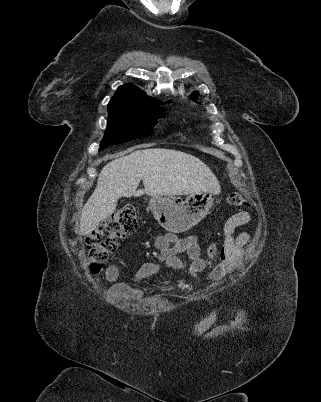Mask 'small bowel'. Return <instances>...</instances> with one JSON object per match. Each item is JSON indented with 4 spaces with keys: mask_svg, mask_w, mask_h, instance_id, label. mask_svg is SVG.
I'll use <instances>...</instances> for the list:
<instances>
[{
    "mask_svg": "<svg viewBox=\"0 0 321 402\" xmlns=\"http://www.w3.org/2000/svg\"><path fill=\"white\" fill-rule=\"evenodd\" d=\"M251 221V215L247 211H238L227 218L224 224L225 241L222 249V260L214 267L210 268L209 261L203 257L202 248L195 236L177 237L174 234H165L156 238L155 247L158 250L157 259L148 261L136 274L135 280L139 281L147 276L156 274L159 271L160 263L167 268L174 270H184L192 277L197 278L200 273L207 271V280L215 282L230 273L239 263L243 249L251 242V236L247 232L236 235V230L247 225ZM185 256L187 262L182 256ZM106 279L112 282L110 288L112 295H118L132 290V286L124 283H116L119 276L117 266L110 264L105 271ZM213 321H192L191 327L194 328L195 335H205L206 327L213 328ZM242 320L232 322V327L237 329L244 328ZM215 335H222L224 329L217 325L214 327ZM225 333H231V328H225ZM200 341H205V336H200Z\"/></svg>",
    "mask_w": 321,
    "mask_h": 402,
    "instance_id": "obj_1",
    "label": "small bowel"
}]
</instances>
